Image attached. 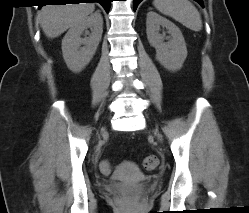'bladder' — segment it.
<instances>
[{
	"mask_svg": "<svg viewBox=\"0 0 249 213\" xmlns=\"http://www.w3.org/2000/svg\"><path fill=\"white\" fill-rule=\"evenodd\" d=\"M108 185L116 190H133L134 189V187H130V186L125 185L121 182L110 181V182H108Z\"/></svg>",
	"mask_w": 249,
	"mask_h": 213,
	"instance_id": "1",
	"label": "bladder"
}]
</instances>
